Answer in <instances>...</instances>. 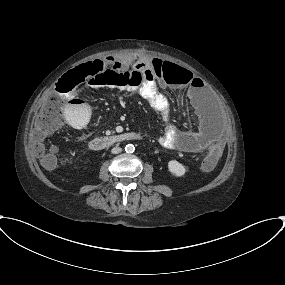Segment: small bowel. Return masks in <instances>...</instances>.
I'll return each instance as SVG.
<instances>
[{
  "instance_id": "obj_1",
  "label": "small bowel",
  "mask_w": 285,
  "mask_h": 285,
  "mask_svg": "<svg viewBox=\"0 0 285 285\" xmlns=\"http://www.w3.org/2000/svg\"><path fill=\"white\" fill-rule=\"evenodd\" d=\"M119 69L125 70L132 66L144 74V82L140 94L145 98L150 107L156 111L165 125L160 136V144L167 149L182 150L191 154H200L203 152L212 153L214 150L223 151L224 144L221 140L217 128L206 118L200 122L196 131H183L171 121V101L163 95L158 88L157 80L166 87L174 90L184 89L190 100L195 103L198 110H203V98L201 95L202 87L200 80L192 72L186 70L185 74H171L163 80H159V73L164 69L165 62L159 58L140 59L133 61L128 57L115 58ZM71 81L66 80L62 83L64 87ZM89 84L95 88H102L105 84L93 79ZM65 115L67 122L72 128H80L83 120H90V107L81 98H71L65 106Z\"/></svg>"
}]
</instances>
